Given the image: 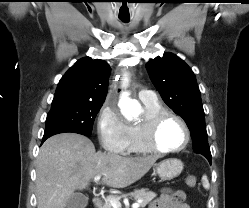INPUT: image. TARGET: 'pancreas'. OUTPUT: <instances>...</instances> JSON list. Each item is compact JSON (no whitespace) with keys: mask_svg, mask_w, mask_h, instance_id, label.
<instances>
[{"mask_svg":"<svg viewBox=\"0 0 249 208\" xmlns=\"http://www.w3.org/2000/svg\"><path fill=\"white\" fill-rule=\"evenodd\" d=\"M131 196L135 199L141 200L140 207L144 208L156 197V194L152 191H148L147 189H141L135 190L133 193H131ZM116 199L119 200L118 197H116ZM100 208H112V205L106 201Z\"/></svg>","mask_w":249,"mask_h":208,"instance_id":"pancreas-1","label":"pancreas"}]
</instances>
